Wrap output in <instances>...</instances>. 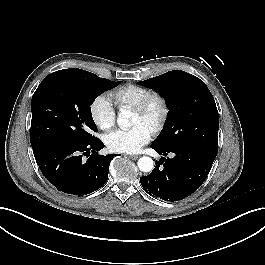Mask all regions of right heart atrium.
<instances>
[{
    "mask_svg": "<svg viewBox=\"0 0 265 265\" xmlns=\"http://www.w3.org/2000/svg\"><path fill=\"white\" fill-rule=\"evenodd\" d=\"M89 113L93 123L100 130H109L116 122V112L109 99L104 95H99L92 101Z\"/></svg>",
    "mask_w": 265,
    "mask_h": 265,
    "instance_id": "d8ad5b80",
    "label": "right heart atrium"
}]
</instances>
